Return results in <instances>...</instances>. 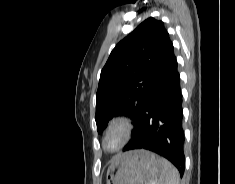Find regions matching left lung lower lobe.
Masks as SVG:
<instances>
[{
	"label": "left lung lower lobe",
	"mask_w": 235,
	"mask_h": 184,
	"mask_svg": "<svg viewBox=\"0 0 235 184\" xmlns=\"http://www.w3.org/2000/svg\"><path fill=\"white\" fill-rule=\"evenodd\" d=\"M181 103L177 60L168 37L142 104L132 139L123 151L146 149L155 152L173 163L182 176L185 158Z\"/></svg>",
	"instance_id": "0a47b994"
}]
</instances>
